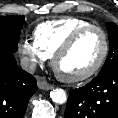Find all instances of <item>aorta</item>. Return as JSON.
Segmentation results:
<instances>
[{"instance_id": "aorta-1", "label": "aorta", "mask_w": 118, "mask_h": 118, "mask_svg": "<svg viewBox=\"0 0 118 118\" xmlns=\"http://www.w3.org/2000/svg\"><path fill=\"white\" fill-rule=\"evenodd\" d=\"M50 98L56 104H64L67 101L66 92L61 88L53 89L50 92Z\"/></svg>"}]
</instances>
